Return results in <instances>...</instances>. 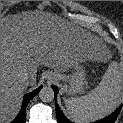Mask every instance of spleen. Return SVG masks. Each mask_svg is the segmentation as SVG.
Returning <instances> with one entry per match:
<instances>
[{"instance_id":"3e777b00","label":"spleen","mask_w":123,"mask_h":123,"mask_svg":"<svg viewBox=\"0 0 123 123\" xmlns=\"http://www.w3.org/2000/svg\"><path fill=\"white\" fill-rule=\"evenodd\" d=\"M123 78L117 62L106 69L99 85L80 97L65 100L70 117L77 123H89L111 114L120 103Z\"/></svg>"}]
</instances>
